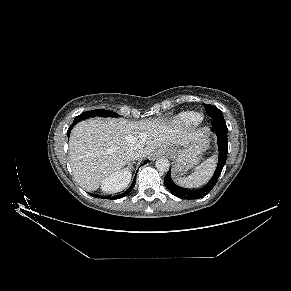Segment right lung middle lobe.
<instances>
[{"instance_id":"right-lung-middle-lobe-1","label":"right lung middle lobe","mask_w":291,"mask_h":291,"mask_svg":"<svg viewBox=\"0 0 291 291\" xmlns=\"http://www.w3.org/2000/svg\"><path fill=\"white\" fill-rule=\"evenodd\" d=\"M118 114L112 112V111H108V110H103V109H100V110H93V111H87V112H84L80 115H78L74 121L76 122H79L83 119H86L88 117H94V116H110V117H116Z\"/></svg>"}]
</instances>
